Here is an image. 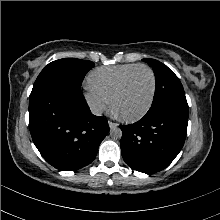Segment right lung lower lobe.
Segmentation results:
<instances>
[{"label": "right lung lower lobe", "instance_id": "right-lung-lower-lobe-1", "mask_svg": "<svg viewBox=\"0 0 220 220\" xmlns=\"http://www.w3.org/2000/svg\"><path fill=\"white\" fill-rule=\"evenodd\" d=\"M29 125L40 154L59 170L90 164L109 132L107 120L90 112L81 90L65 85L32 89Z\"/></svg>", "mask_w": 220, "mask_h": 220}]
</instances>
